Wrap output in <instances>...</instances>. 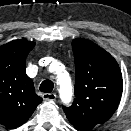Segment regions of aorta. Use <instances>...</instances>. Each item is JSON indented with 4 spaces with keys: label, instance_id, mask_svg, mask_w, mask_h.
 Returning <instances> with one entry per match:
<instances>
[{
    "label": "aorta",
    "instance_id": "aorta-1",
    "mask_svg": "<svg viewBox=\"0 0 131 131\" xmlns=\"http://www.w3.org/2000/svg\"><path fill=\"white\" fill-rule=\"evenodd\" d=\"M59 94L63 103H69L72 99V84L67 73L58 74Z\"/></svg>",
    "mask_w": 131,
    "mask_h": 131
}]
</instances>
